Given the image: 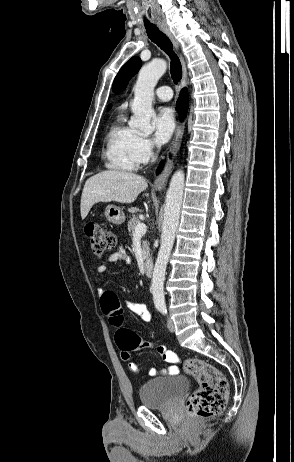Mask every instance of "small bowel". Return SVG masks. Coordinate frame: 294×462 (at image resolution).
<instances>
[{
	"instance_id": "1",
	"label": "small bowel",
	"mask_w": 294,
	"mask_h": 462,
	"mask_svg": "<svg viewBox=\"0 0 294 462\" xmlns=\"http://www.w3.org/2000/svg\"><path fill=\"white\" fill-rule=\"evenodd\" d=\"M108 261L110 262H120L125 265H131V258L129 255L123 250L119 249L117 252L112 254ZM97 271L100 274H105L107 272V268L105 265L100 264L97 267ZM103 289H98L99 294H103ZM127 308L136 314L143 322H150L151 320V313L148 309V306L144 303H138V302H132V301H127L126 302ZM157 352L162 356L163 360L170 365L168 366L167 369H161L160 371L157 372L155 368L150 369L149 374L150 375H155L156 373H160L161 375H177L180 372L179 369V358L176 355L175 352L167 349L165 346L160 345L157 347ZM121 358L124 362L128 363V369L129 371L134 374V375H139L140 374V369L139 367L135 364L130 362V354L126 353H121Z\"/></svg>"
}]
</instances>
